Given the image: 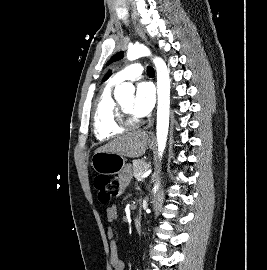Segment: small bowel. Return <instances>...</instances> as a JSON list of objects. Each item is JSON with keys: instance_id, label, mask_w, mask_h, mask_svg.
I'll use <instances>...</instances> for the list:
<instances>
[{"instance_id": "1", "label": "small bowel", "mask_w": 267, "mask_h": 270, "mask_svg": "<svg viewBox=\"0 0 267 270\" xmlns=\"http://www.w3.org/2000/svg\"><path fill=\"white\" fill-rule=\"evenodd\" d=\"M131 180V171L129 168H125L119 175V182L121 189L127 187ZM118 211L116 206H110L106 209V218L109 222H113L117 219ZM107 236L110 242V265L112 270H125V264L120 260L118 256V248L115 240V233L112 229H108Z\"/></svg>"}]
</instances>
